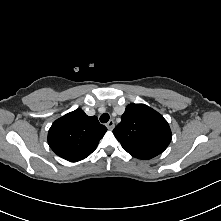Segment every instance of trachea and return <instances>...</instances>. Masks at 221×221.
Returning a JSON list of instances; mask_svg holds the SVG:
<instances>
[{
	"label": "trachea",
	"mask_w": 221,
	"mask_h": 221,
	"mask_svg": "<svg viewBox=\"0 0 221 221\" xmlns=\"http://www.w3.org/2000/svg\"><path fill=\"white\" fill-rule=\"evenodd\" d=\"M109 118H110L109 114L104 113V114H102V115L100 116V121H101L102 123H106V122L109 121Z\"/></svg>",
	"instance_id": "1"
}]
</instances>
